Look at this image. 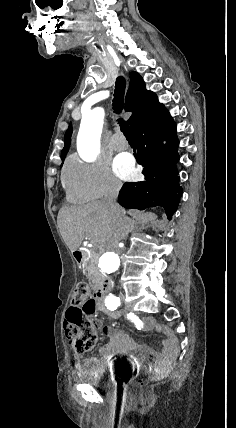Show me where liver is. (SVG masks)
Here are the masks:
<instances>
[{
  "label": "liver",
  "instance_id": "obj_1",
  "mask_svg": "<svg viewBox=\"0 0 236 428\" xmlns=\"http://www.w3.org/2000/svg\"><path fill=\"white\" fill-rule=\"evenodd\" d=\"M122 212V216H116L107 208L104 200H97L85 206H70L60 210L57 224L70 252H76L84 238H88L93 246H101L105 250L117 248L121 240H124L125 234L131 232L135 224H147L157 220L156 214L146 212L139 216L138 222H135L125 216L124 210ZM151 228L157 230L158 226Z\"/></svg>",
  "mask_w": 236,
  "mask_h": 428
}]
</instances>
